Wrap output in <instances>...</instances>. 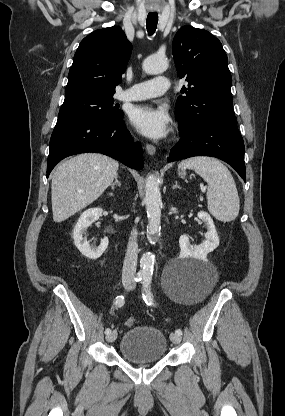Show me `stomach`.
<instances>
[{
	"instance_id": "obj_1",
	"label": "stomach",
	"mask_w": 285,
	"mask_h": 416,
	"mask_svg": "<svg viewBox=\"0 0 285 416\" xmlns=\"http://www.w3.org/2000/svg\"><path fill=\"white\" fill-rule=\"evenodd\" d=\"M178 176L179 178H185L186 176L185 170H178Z\"/></svg>"
}]
</instances>
